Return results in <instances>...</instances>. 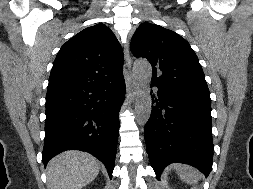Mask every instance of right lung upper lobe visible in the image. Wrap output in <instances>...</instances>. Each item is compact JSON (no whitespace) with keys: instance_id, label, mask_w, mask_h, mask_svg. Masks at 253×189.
<instances>
[{"instance_id":"right-lung-upper-lobe-1","label":"right lung upper lobe","mask_w":253,"mask_h":189,"mask_svg":"<svg viewBox=\"0 0 253 189\" xmlns=\"http://www.w3.org/2000/svg\"><path fill=\"white\" fill-rule=\"evenodd\" d=\"M123 52L113 32L104 24L84 29L58 52L48 90L111 81L121 75Z\"/></svg>"}]
</instances>
